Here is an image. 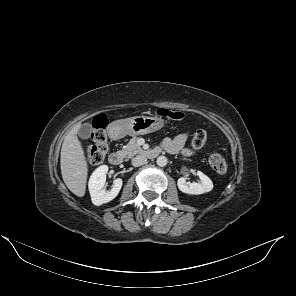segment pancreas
I'll list each match as a JSON object with an SVG mask.
<instances>
[{
    "mask_svg": "<svg viewBox=\"0 0 296 296\" xmlns=\"http://www.w3.org/2000/svg\"><path fill=\"white\" fill-rule=\"evenodd\" d=\"M138 138L134 136L130 139L129 143L123 146L121 153L127 158H131L132 156L143 153L144 150L137 143Z\"/></svg>",
    "mask_w": 296,
    "mask_h": 296,
    "instance_id": "cf45deb5",
    "label": "pancreas"
}]
</instances>
